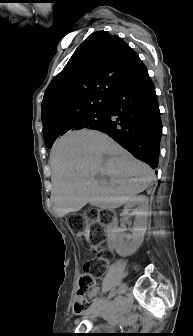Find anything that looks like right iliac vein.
<instances>
[{
  "label": "right iliac vein",
  "mask_w": 193,
  "mask_h": 336,
  "mask_svg": "<svg viewBox=\"0 0 193 336\" xmlns=\"http://www.w3.org/2000/svg\"><path fill=\"white\" fill-rule=\"evenodd\" d=\"M126 290H127V286H126V284L124 283V284H122V285L120 286V288H119V290H118L119 295L124 294V293L126 292ZM118 302H119V301H118ZM118 302H117V303H118ZM99 308H100V306H98L97 308L90 309L88 314H96V313H98V309H99Z\"/></svg>",
  "instance_id": "obj_1"
}]
</instances>
